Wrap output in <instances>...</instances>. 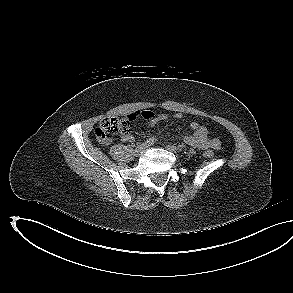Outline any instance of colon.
I'll return each mask as SVG.
<instances>
[{
    "mask_svg": "<svg viewBox=\"0 0 293 293\" xmlns=\"http://www.w3.org/2000/svg\"><path fill=\"white\" fill-rule=\"evenodd\" d=\"M130 120L124 117H109L101 121L95 129L96 138L103 143L108 142L115 135H126L130 133ZM205 155L213 156L212 150H206Z\"/></svg>",
    "mask_w": 293,
    "mask_h": 293,
    "instance_id": "1",
    "label": "colon"
}]
</instances>
